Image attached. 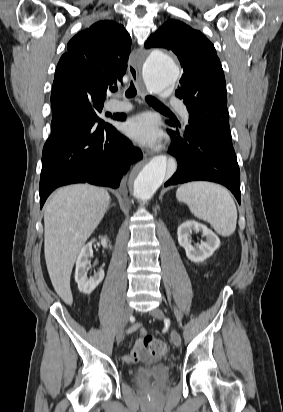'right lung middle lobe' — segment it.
I'll list each match as a JSON object with an SVG mask.
<instances>
[{
  "label": "right lung middle lobe",
  "instance_id": "obj_1",
  "mask_svg": "<svg viewBox=\"0 0 283 412\" xmlns=\"http://www.w3.org/2000/svg\"><path fill=\"white\" fill-rule=\"evenodd\" d=\"M102 108L103 103L82 100L73 104L66 111L52 115L51 128L71 127L85 116H91L98 121H102L99 118Z\"/></svg>",
  "mask_w": 283,
  "mask_h": 412
}]
</instances>
